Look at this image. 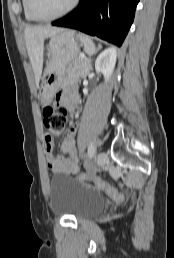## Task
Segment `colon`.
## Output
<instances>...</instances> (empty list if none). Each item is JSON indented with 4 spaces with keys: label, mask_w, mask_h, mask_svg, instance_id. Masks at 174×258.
Wrapping results in <instances>:
<instances>
[{
    "label": "colon",
    "mask_w": 174,
    "mask_h": 258,
    "mask_svg": "<svg viewBox=\"0 0 174 258\" xmlns=\"http://www.w3.org/2000/svg\"><path fill=\"white\" fill-rule=\"evenodd\" d=\"M44 125L51 137L60 136L66 127L67 109L62 106H46L43 111ZM77 180L92 185L115 201H123L124 195L104 180L87 174H78Z\"/></svg>",
    "instance_id": "obj_1"
}]
</instances>
